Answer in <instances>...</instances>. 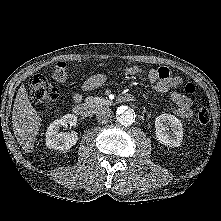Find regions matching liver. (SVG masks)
<instances>
[{
	"mask_svg": "<svg viewBox=\"0 0 221 221\" xmlns=\"http://www.w3.org/2000/svg\"><path fill=\"white\" fill-rule=\"evenodd\" d=\"M42 119L31 105L25 86L18 89L12 111L13 132L22 149L30 153L34 148L36 136Z\"/></svg>",
	"mask_w": 221,
	"mask_h": 221,
	"instance_id": "1",
	"label": "liver"
}]
</instances>
